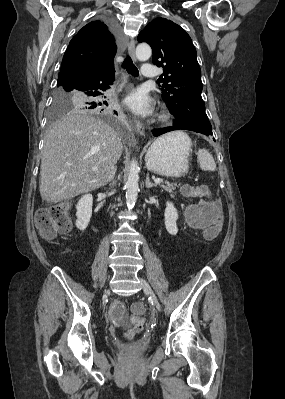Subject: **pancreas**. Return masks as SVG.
<instances>
[{"mask_svg":"<svg viewBox=\"0 0 285 399\" xmlns=\"http://www.w3.org/2000/svg\"><path fill=\"white\" fill-rule=\"evenodd\" d=\"M165 191L169 193H174L175 184L167 183L166 185H160Z\"/></svg>","mask_w":285,"mask_h":399,"instance_id":"obj_1","label":"pancreas"}]
</instances>
